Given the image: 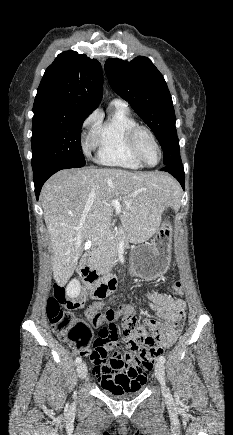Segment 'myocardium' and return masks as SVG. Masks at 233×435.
<instances>
[{
    "instance_id": "1",
    "label": "myocardium",
    "mask_w": 233,
    "mask_h": 435,
    "mask_svg": "<svg viewBox=\"0 0 233 435\" xmlns=\"http://www.w3.org/2000/svg\"><path fill=\"white\" fill-rule=\"evenodd\" d=\"M141 134L147 135L150 138V140L154 143L155 147L157 148V151L159 154V159H158L157 163L154 165L148 164L142 155V152L140 149V144H139V137ZM128 140H129L130 148H131L135 158L143 166L152 168V167H156L159 164V162L162 159V149H161V146H160L155 134L152 132L151 129H149L148 127H146L144 125L137 124L133 128H131V130L129 131Z\"/></svg>"
}]
</instances>
